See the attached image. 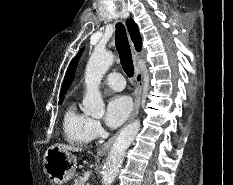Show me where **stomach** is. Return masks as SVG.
<instances>
[{
  "instance_id": "0dacf381",
  "label": "stomach",
  "mask_w": 233,
  "mask_h": 185,
  "mask_svg": "<svg viewBox=\"0 0 233 185\" xmlns=\"http://www.w3.org/2000/svg\"><path fill=\"white\" fill-rule=\"evenodd\" d=\"M43 169L52 185H63L75 176L76 157L53 145L44 154Z\"/></svg>"
}]
</instances>
